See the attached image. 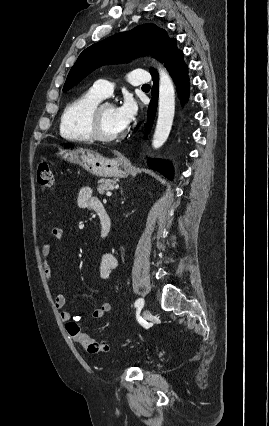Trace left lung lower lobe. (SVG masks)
<instances>
[{
	"label": "left lung lower lobe",
	"instance_id": "1",
	"mask_svg": "<svg viewBox=\"0 0 269 426\" xmlns=\"http://www.w3.org/2000/svg\"><path fill=\"white\" fill-rule=\"evenodd\" d=\"M159 60L164 63L165 67L169 71L177 86L179 97L184 103L189 95L190 83L188 77V67L184 62L183 52L176 46V39H174L164 50V52L160 55ZM150 73L153 77L154 83L151 92L152 98L148 108V130L152 126L158 104V74L154 69H151ZM148 166L161 172L169 179H172L173 171L171 165L168 162L152 159L148 162Z\"/></svg>",
	"mask_w": 269,
	"mask_h": 426
}]
</instances>
